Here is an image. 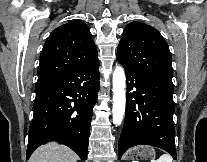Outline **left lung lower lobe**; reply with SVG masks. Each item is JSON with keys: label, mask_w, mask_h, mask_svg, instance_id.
Returning <instances> with one entry per match:
<instances>
[{"label": "left lung lower lobe", "mask_w": 207, "mask_h": 162, "mask_svg": "<svg viewBox=\"0 0 207 162\" xmlns=\"http://www.w3.org/2000/svg\"><path fill=\"white\" fill-rule=\"evenodd\" d=\"M124 68L127 100L119 159L133 146L151 145L167 151L176 160L172 81Z\"/></svg>", "instance_id": "left-lung-lower-lobe-1"}]
</instances>
